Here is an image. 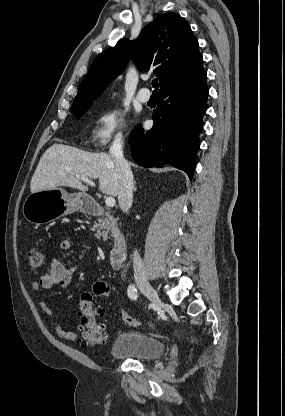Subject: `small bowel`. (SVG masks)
I'll list each match as a JSON object with an SVG mask.
<instances>
[{
    "label": "small bowel",
    "instance_id": "c3829d8e",
    "mask_svg": "<svg viewBox=\"0 0 285 416\" xmlns=\"http://www.w3.org/2000/svg\"><path fill=\"white\" fill-rule=\"evenodd\" d=\"M70 248V240L63 239L60 241L59 249L61 251H69ZM74 273L75 267L71 264L70 261L67 264H64L59 260H53L50 264V267L40 277V279L33 282L32 287L34 290L53 289L54 287L66 288L70 285ZM40 307L47 315L53 317L56 320V333L59 337L69 341L79 340L78 335L65 327L59 314L45 301L40 302Z\"/></svg>",
    "mask_w": 285,
    "mask_h": 416
}]
</instances>
